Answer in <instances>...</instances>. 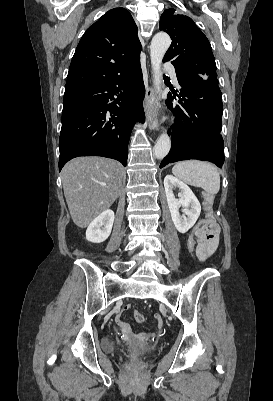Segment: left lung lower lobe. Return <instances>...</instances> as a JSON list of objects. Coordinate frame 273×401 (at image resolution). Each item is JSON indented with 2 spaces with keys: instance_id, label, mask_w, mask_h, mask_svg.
Returning a JSON list of instances; mask_svg holds the SVG:
<instances>
[{
  "instance_id": "1",
  "label": "left lung lower lobe",
  "mask_w": 273,
  "mask_h": 401,
  "mask_svg": "<svg viewBox=\"0 0 273 401\" xmlns=\"http://www.w3.org/2000/svg\"><path fill=\"white\" fill-rule=\"evenodd\" d=\"M181 86L178 104H172L176 95L168 94L166 104L175 113L171 133V151L162 160L160 168L180 160L211 161L218 167L224 163L222 129V94L217 76L185 75L176 68Z\"/></svg>"
}]
</instances>
